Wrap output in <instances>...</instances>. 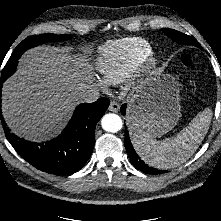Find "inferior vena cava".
Here are the masks:
<instances>
[{
  "label": "inferior vena cava",
  "mask_w": 221,
  "mask_h": 221,
  "mask_svg": "<svg viewBox=\"0 0 221 221\" xmlns=\"http://www.w3.org/2000/svg\"><path fill=\"white\" fill-rule=\"evenodd\" d=\"M76 98L81 103H92L99 98V90L94 86H86L77 93Z\"/></svg>",
  "instance_id": "inferior-vena-cava-1"
}]
</instances>
